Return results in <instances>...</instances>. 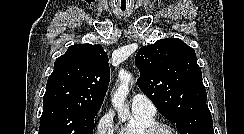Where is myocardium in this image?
<instances>
[{
  "label": "myocardium",
  "instance_id": "obj_1",
  "mask_svg": "<svg viewBox=\"0 0 244 134\" xmlns=\"http://www.w3.org/2000/svg\"><path fill=\"white\" fill-rule=\"evenodd\" d=\"M162 129L169 131L171 134H179L173 126L164 122H154L144 129L143 134H157Z\"/></svg>",
  "mask_w": 244,
  "mask_h": 134
}]
</instances>
